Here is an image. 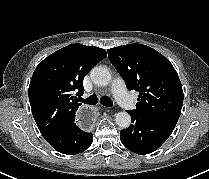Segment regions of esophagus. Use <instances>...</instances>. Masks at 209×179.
Returning a JSON list of instances; mask_svg holds the SVG:
<instances>
[{
	"label": "esophagus",
	"mask_w": 209,
	"mask_h": 179,
	"mask_svg": "<svg viewBox=\"0 0 209 179\" xmlns=\"http://www.w3.org/2000/svg\"><path fill=\"white\" fill-rule=\"evenodd\" d=\"M96 117L97 110L93 106H82L76 112V121L85 131H90L94 128V119Z\"/></svg>",
	"instance_id": "esophagus-1"
}]
</instances>
